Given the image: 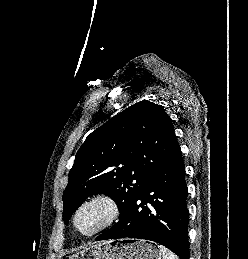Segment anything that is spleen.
Here are the masks:
<instances>
[{
  "mask_svg": "<svg viewBox=\"0 0 248 259\" xmlns=\"http://www.w3.org/2000/svg\"><path fill=\"white\" fill-rule=\"evenodd\" d=\"M159 248L162 252L163 259H180L178 258V256H176L172 251H170L166 247L160 245Z\"/></svg>",
  "mask_w": 248,
  "mask_h": 259,
  "instance_id": "spleen-1",
  "label": "spleen"
}]
</instances>
